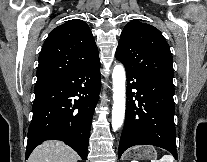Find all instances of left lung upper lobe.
Listing matches in <instances>:
<instances>
[{"mask_svg":"<svg viewBox=\"0 0 207 162\" xmlns=\"http://www.w3.org/2000/svg\"><path fill=\"white\" fill-rule=\"evenodd\" d=\"M116 58L126 69L142 76L173 83V59L161 32L134 20L122 31Z\"/></svg>","mask_w":207,"mask_h":162,"instance_id":"left-lung-upper-lobe-1","label":"left lung upper lobe"}]
</instances>
